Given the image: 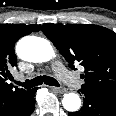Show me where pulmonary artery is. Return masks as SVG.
<instances>
[{
	"mask_svg": "<svg viewBox=\"0 0 116 116\" xmlns=\"http://www.w3.org/2000/svg\"><path fill=\"white\" fill-rule=\"evenodd\" d=\"M53 71L56 76L64 82L66 85L78 88L81 86V81L79 78L72 72L68 71L62 64L56 62L53 64ZM17 80H22L23 77L21 75L16 76Z\"/></svg>",
	"mask_w": 116,
	"mask_h": 116,
	"instance_id": "pulmonary-artery-1",
	"label": "pulmonary artery"
}]
</instances>
